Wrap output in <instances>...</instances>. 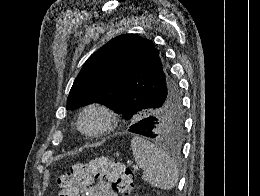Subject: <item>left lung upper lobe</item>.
Returning a JSON list of instances; mask_svg holds the SVG:
<instances>
[{"label":"left lung upper lobe","instance_id":"obj_1","mask_svg":"<svg viewBox=\"0 0 260 196\" xmlns=\"http://www.w3.org/2000/svg\"><path fill=\"white\" fill-rule=\"evenodd\" d=\"M101 103L130 123L155 121V139L179 147L185 135L184 112L177 83L163 52L152 41L133 34L117 36L84 64L67 99V109Z\"/></svg>","mask_w":260,"mask_h":196}]
</instances>
